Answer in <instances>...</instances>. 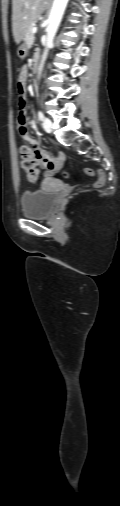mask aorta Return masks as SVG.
I'll return each instance as SVG.
<instances>
[{
  "label": "aorta",
  "instance_id": "obj_1",
  "mask_svg": "<svg viewBox=\"0 0 120 506\" xmlns=\"http://www.w3.org/2000/svg\"><path fill=\"white\" fill-rule=\"evenodd\" d=\"M67 3L68 0H54L53 2V6L48 18V25L46 28L47 36H46L45 50L38 68L39 75L42 72L48 51L53 46V40L60 25Z\"/></svg>",
  "mask_w": 120,
  "mask_h": 506
}]
</instances>
